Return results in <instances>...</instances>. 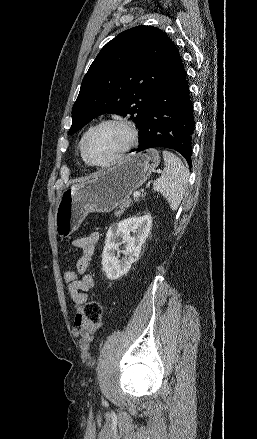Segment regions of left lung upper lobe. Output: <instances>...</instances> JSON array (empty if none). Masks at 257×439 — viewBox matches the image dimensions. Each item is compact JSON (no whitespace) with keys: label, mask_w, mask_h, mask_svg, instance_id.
Returning <instances> with one entry per match:
<instances>
[{"label":"left lung upper lobe","mask_w":257,"mask_h":439,"mask_svg":"<svg viewBox=\"0 0 257 439\" xmlns=\"http://www.w3.org/2000/svg\"><path fill=\"white\" fill-rule=\"evenodd\" d=\"M178 53L156 27L137 26L120 33L101 49L84 76L68 134L105 113L129 116L140 129Z\"/></svg>","instance_id":"1"}]
</instances>
